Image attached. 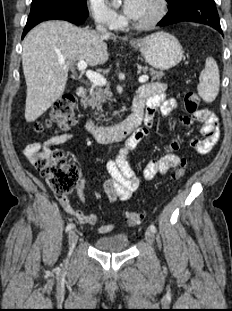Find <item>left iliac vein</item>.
<instances>
[{
  "mask_svg": "<svg viewBox=\"0 0 232 311\" xmlns=\"http://www.w3.org/2000/svg\"><path fill=\"white\" fill-rule=\"evenodd\" d=\"M145 239L150 245H152L155 239L154 232H152L151 230H147L145 232Z\"/></svg>",
  "mask_w": 232,
  "mask_h": 311,
  "instance_id": "4c4485c4",
  "label": "left iliac vein"
}]
</instances>
